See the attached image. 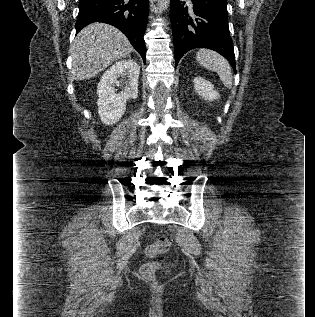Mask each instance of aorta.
Listing matches in <instances>:
<instances>
[{"instance_id":"1","label":"aorta","mask_w":315,"mask_h":317,"mask_svg":"<svg viewBox=\"0 0 315 317\" xmlns=\"http://www.w3.org/2000/svg\"><path fill=\"white\" fill-rule=\"evenodd\" d=\"M170 0H158V5L160 9L165 10L169 7Z\"/></svg>"}]
</instances>
